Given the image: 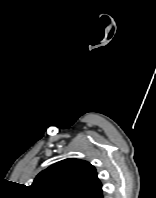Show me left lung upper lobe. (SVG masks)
Wrapping results in <instances>:
<instances>
[{"instance_id": "5c2ea615", "label": "left lung upper lobe", "mask_w": 156, "mask_h": 198, "mask_svg": "<svg viewBox=\"0 0 156 198\" xmlns=\"http://www.w3.org/2000/svg\"><path fill=\"white\" fill-rule=\"evenodd\" d=\"M37 198H100L102 185L89 162L65 159L40 172L31 185Z\"/></svg>"}]
</instances>
